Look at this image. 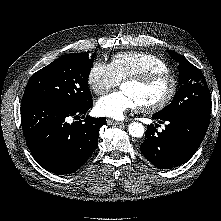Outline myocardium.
Segmentation results:
<instances>
[{
	"label": "myocardium",
	"instance_id": "obj_1",
	"mask_svg": "<svg viewBox=\"0 0 221 221\" xmlns=\"http://www.w3.org/2000/svg\"><path fill=\"white\" fill-rule=\"evenodd\" d=\"M167 80L169 82V90L164 98L153 105L139 106V110L144 113H156L167 107L174 99L177 89L178 81L174 74L169 71H154L141 75L131 76L123 80L124 83H135L141 86L149 85L158 80Z\"/></svg>",
	"mask_w": 221,
	"mask_h": 221
}]
</instances>
